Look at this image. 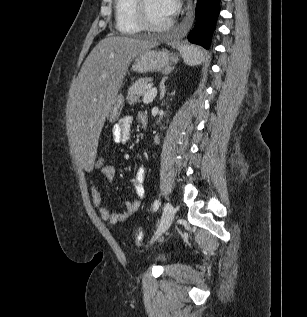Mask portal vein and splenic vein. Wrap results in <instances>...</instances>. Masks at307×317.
<instances>
[{
	"label": "portal vein and splenic vein",
	"instance_id": "1",
	"mask_svg": "<svg viewBox=\"0 0 307 317\" xmlns=\"http://www.w3.org/2000/svg\"><path fill=\"white\" fill-rule=\"evenodd\" d=\"M148 90L145 92L143 96V103L148 104L153 101L155 96L157 95V89L153 88L151 85L148 86Z\"/></svg>",
	"mask_w": 307,
	"mask_h": 317
}]
</instances>
